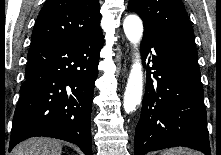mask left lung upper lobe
<instances>
[{
    "label": "left lung upper lobe",
    "mask_w": 221,
    "mask_h": 155,
    "mask_svg": "<svg viewBox=\"0 0 221 155\" xmlns=\"http://www.w3.org/2000/svg\"><path fill=\"white\" fill-rule=\"evenodd\" d=\"M128 9L144 24V33L196 50L194 33L181 0H129Z\"/></svg>",
    "instance_id": "left-lung-upper-lobe-1"
}]
</instances>
